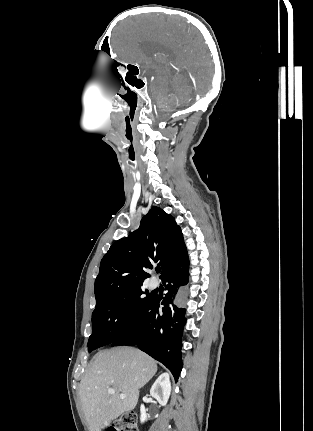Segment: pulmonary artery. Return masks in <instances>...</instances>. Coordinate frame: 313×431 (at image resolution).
<instances>
[{
    "instance_id": "obj_1",
    "label": "pulmonary artery",
    "mask_w": 313,
    "mask_h": 431,
    "mask_svg": "<svg viewBox=\"0 0 313 431\" xmlns=\"http://www.w3.org/2000/svg\"><path fill=\"white\" fill-rule=\"evenodd\" d=\"M157 286H158V283H157V281H155V280H152V281L149 283V287H150L151 289H155Z\"/></svg>"
}]
</instances>
